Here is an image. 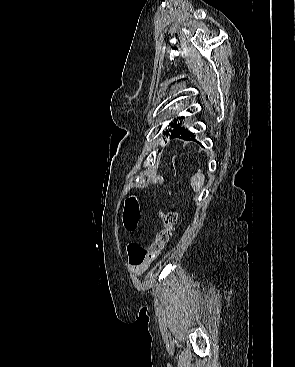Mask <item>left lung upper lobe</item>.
<instances>
[{"label": "left lung upper lobe", "instance_id": "5c2ea615", "mask_svg": "<svg viewBox=\"0 0 295 367\" xmlns=\"http://www.w3.org/2000/svg\"><path fill=\"white\" fill-rule=\"evenodd\" d=\"M182 118H184V117H182ZM177 120H178V118L177 119H174L173 120V122H171L169 125H171V127L173 128L172 130H169V131H166V135L167 136H170L171 137V135L174 133V131L180 126V124L178 123L177 124ZM169 132H171V134L169 133Z\"/></svg>", "mask_w": 295, "mask_h": 367}]
</instances>
